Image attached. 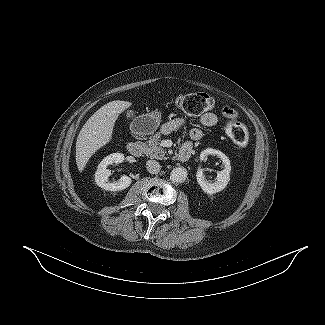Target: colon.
<instances>
[{
	"label": "colon",
	"instance_id": "obj_1",
	"mask_svg": "<svg viewBox=\"0 0 325 325\" xmlns=\"http://www.w3.org/2000/svg\"><path fill=\"white\" fill-rule=\"evenodd\" d=\"M215 99L202 92L179 95L175 98V106L184 114L197 116L211 110L215 106ZM226 132L233 143L240 148L246 147L248 133L242 123L235 118L228 119Z\"/></svg>",
	"mask_w": 325,
	"mask_h": 325
}]
</instances>
